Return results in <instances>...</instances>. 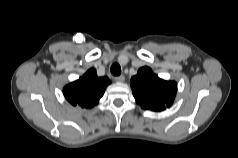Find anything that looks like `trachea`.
<instances>
[{
    "label": "trachea",
    "mask_w": 238,
    "mask_h": 158,
    "mask_svg": "<svg viewBox=\"0 0 238 158\" xmlns=\"http://www.w3.org/2000/svg\"><path fill=\"white\" fill-rule=\"evenodd\" d=\"M111 73L114 75V76H119L121 74V67L118 63H114L112 66H111Z\"/></svg>",
    "instance_id": "obj_1"
}]
</instances>
